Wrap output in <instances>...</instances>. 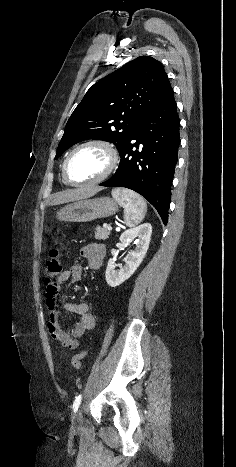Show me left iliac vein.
<instances>
[{
	"label": "left iliac vein",
	"instance_id": "left-iliac-vein-1",
	"mask_svg": "<svg viewBox=\"0 0 236 467\" xmlns=\"http://www.w3.org/2000/svg\"><path fill=\"white\" fill-rule=\"evenodd\" d=\"M83 423V414L82 409L80 408L74 415L73 425L75 427L80 426Z\"/></svg>",
	"mask_w": 236,
	"mask_h": 467
}]
</instances>
